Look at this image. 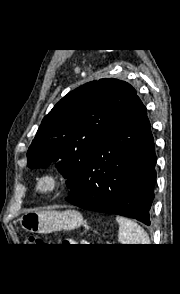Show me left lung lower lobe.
Returning a JSON list of instances; mask_svg holds the SVG:
<instances>
[{"label":"left lung lower lobe","mask_w":180,"mask_h":294,"mask_svg":"<svg viewBox=\"0 0 180 294\" xmlns=\"http://www.w3.org/2000/svg\"><path fill=\"white\" fill-rule=\"evenodd\" d=\"M156 155L146 107L137 96L94 153L80 190L66 201L150 225Z\"/></svg>","instance_id":"left-lung-lower-lobe-1"}]
</instances>
